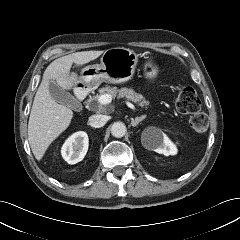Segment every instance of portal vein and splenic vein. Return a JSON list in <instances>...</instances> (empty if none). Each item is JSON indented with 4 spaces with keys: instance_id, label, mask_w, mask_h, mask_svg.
Wrapping results in <instances>:
<instances>
[{
    "instance_id": "1",
    "label": "portal vein and splenic vein",
    "mask_w": 240,
    "mask_h": 240,
    "mask_svg": "<svg viewBox=\"0 0 240 240\" xmlns=\"http://www.w3.org/2000/svg\"><path fill=\"white\" fill-rule=\"evenodd\" d=\"M111 101H112V97H111V95H109V94L101 95V96H99V98H98V104L101 105V106H102V105H107V104L111 103ZM126 104H127V106H128L129 108H131L132 110H136L135 106H134L132 103L127 102Z\"/></svg>"
}]
</instances>
